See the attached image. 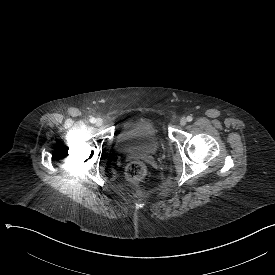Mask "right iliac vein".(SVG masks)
Masks as SVG:
<instances>
[{
    "label": "right iliac vein",
    "instance_id": "63e3f726",
    "mask_svg": "<svg viewBox=\"0 0 275 275\" xmlns=\"http://www.w3.org/2000/svg\"><path fill=\"white\" fill-rule=\"evenodd\" d=\"M96 125H97L98 127L102 126V125H103V120H102V119H97V120H96Z\"/></svg>",
    "mask_w": 275,
    "mask_h": 275
}]
</instances>
